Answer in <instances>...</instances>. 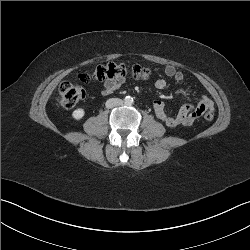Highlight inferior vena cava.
I'll return each mask as SVG.
<instances>
[{
	"mask_svg": "<svg viewBox=\"0 0 250 250\" xmlns=\"http://www.w3.org/2000/svg\"><path fill=\"white\" fill-rule=\"evenodd\" d=\"M123 104V101L119 98H111L106 101V107L107 108H113L116 106H120Z\"/></svg>",
	"mask_w": 250,
	"mask_h": 250,
	"instance_id": "1",
	"label": "inferior vena cava"
}]
</instances>
